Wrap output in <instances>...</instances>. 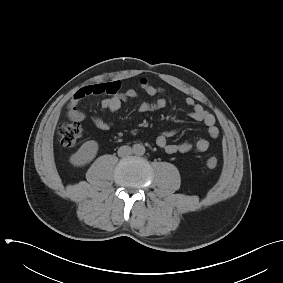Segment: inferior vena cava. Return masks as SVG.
Segmentation results:
<instances>
[{"label": "inferior vena cava", "instance_id": "obj_1", "mask_svg": "<svg viewBox=\"0 0 283 283\" xmlns=\"http://www.w3.org/2000/svg\"><path fill=\"white\" fill-rule=\"evenodd\" d=\"M132 153H133V149L130 146H121L118 149V156L119 157L129 156Z\"/></svg>", "mask_w": 283, "mask_h": 283}]
</instances>
